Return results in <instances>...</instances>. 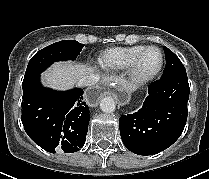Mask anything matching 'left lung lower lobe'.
I'll return each instance as SVG.
<instances>
[{
	"label": "left lung lower lobe",
	"instance_id": "0a47b994",
	"mask_svg": "<svg viewBox=\"0 0 209 179\" xmlns=\"http://www.w3.org/2000/svg\"><path fill=\"white\" fill-rule=\"evenodd\" d=\"M148 92L138 112L119 119L123 144L138 155L157 154L180 137L188 112L187 74L161 78L148 87Z\"/></svg>",
	"mask_w": 209,
	"mask_h": 179
}]
</instances>
